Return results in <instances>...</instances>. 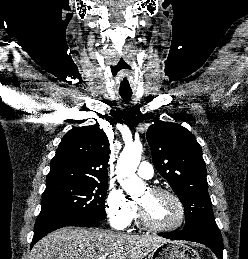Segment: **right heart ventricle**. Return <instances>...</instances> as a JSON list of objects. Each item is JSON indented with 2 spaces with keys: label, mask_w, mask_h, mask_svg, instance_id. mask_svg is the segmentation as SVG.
I'll return each instance as SVG.
<instances>
[{
  "label": "right heart ventricle",
  "mask_w": 248,
  "mask_h": 259,
  "mask_svg": "<svg viewBox=\"0 0 248 259\" xmlns=\"http://www.w3.org/2000/svg\"><path fill=\"white\" fill-rule=\"evenodd\" d=\"M133 218L137 219V214H136V211H135V214H134V217H133Z\"/></svg>",
  "instance_id": "e07e8e85"
}]
</instances>
